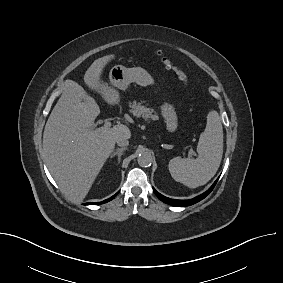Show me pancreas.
<instances>
[{
    "instance_id": "cf45deb5",
    "label": "pancreas",
    "mask_w": 283,
    "mask_h": 283,
    "mask_svg": "<svg viewBox=\"0 0 283 283\" xmlns=\"http://www.w3.org/2000/svg\"><path fill=\"white\" fill-rule=\"evenodd\" d=\"M130 107L132 108L130 112L138 118L142 117L144 120H148L150 118L157 120L159 118L158 115L154 112V109L147 107L146 105H142V103L134 101L130 103Z\"/></svg>"
}]
</instances>
